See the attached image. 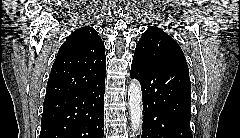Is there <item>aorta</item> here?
<instances>
[{"label": "aorta", "mask_w": 240, "mask_h": 138, "mask_svg": "<svg viewBox=\"0 0 240 138\" xmlns=\"http://www.w3.org/2000/svg\"><path fill=\"white\" fill-rule=\"evenodd\" d=\"M128 105L133 136H140L142 133V90L138 80L133 79L128 89Z\"/></svg>", "instance_id": "1"}]
</instances>
